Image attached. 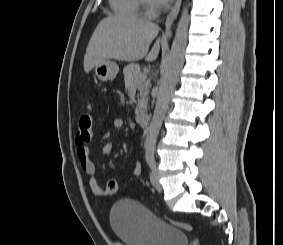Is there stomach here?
<instances>
[{"mask_svg":"<svg viewBox=\"0 0 283 245\" xmlns=\"http://www.w3.org/2000/svg\"><path fill=\"white\" fill-rule=\"evenodd\" d=\"M119 72V66L116 62L106 60L95 66V75L101 81L113 80Z\"/></svg>","mask_w":283,"mask_h":245,"instance_id":"0dacf381","label":"stomach"}]
</instances>
